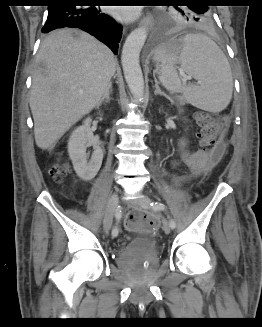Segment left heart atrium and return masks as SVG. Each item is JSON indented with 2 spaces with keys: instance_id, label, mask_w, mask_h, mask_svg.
I'll return each instance as SVG.
<instances>
[{
  "instance_id": "obj_1",
  "label": "left heart atrium",
  "mask_w": 262,
  "mask_h": 327,
  "mask_svg": "<svg viewBox=\"0 0 262 327\" xmlns=\"http://www.w3.org/2000/svg\"><path fill=\"white\" fill-rule=\"evenodd\" d=\"M114 15L121 19H132L136 16V9L134 8H118L113 12Z\"/></svg>"
}]
</instances>
